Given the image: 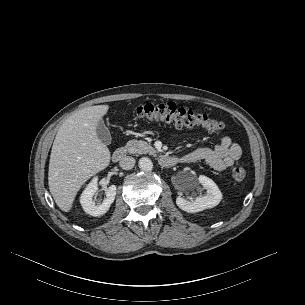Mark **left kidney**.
Returning <instances> with one entry per match:
<instances>
[{
  "instance_id": "left-kidney-1",
  "label": "left kidney",
  "mask_w": 305,
  "mask_h": 305,
  "mask_svg": "<svg viewBox=\"0 0 305 305\" xmlns=\"http://www.w3.org/2000/svg\"><path fill=\"white\" fill-rule=\"evenodd\" d=\"M197 180L203 186V188L206 189L205 195H200L194 200H188L181 196H178L176 199L177 206L188 213H196L208 208H213L217 206L222 199V193L212 179L204 175H200ZM197 180H192L189 186L194 187Z\"/></svg>"
}]
</instances>
